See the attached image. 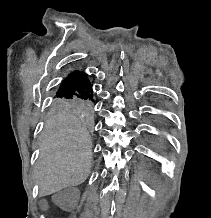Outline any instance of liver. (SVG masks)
<instances>
[{
  "label": "liver",
  "instance_id": "obj_1",
  "mask_svg": "<svg viewBox=\"0 0 211 218\" xmlns=\"http://www.w3.org/2000/svg\"><path fill=\"white\" fill-rule=\"evenodd\" d=\"M40 140L36 178L42 196L85 182L91 168V140L75 116L67 112L53 116Z\"/></svg>",
  "mask_w": 211,
  "mask_h": 218
}]
</instances>
